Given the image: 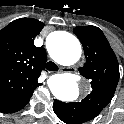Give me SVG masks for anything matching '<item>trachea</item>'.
Listing matches in <instances>:
<instances>
[{
    "label": "trachea",
    "mask_w": 124,
    "mask_h": 124,
    "mask_svg": "<svg viewBox=\"0 0 124 124\" xmlns=\"http://www.w3.org/2000/svg\"><path fill=\"white\" fill-rule=\"evenodd\" d=\"M46 69L49 70V71H57L58 70V66L55 63L50 61V62H48L46 64Z\"/></svg>",
    "instance_id": "trachea-1"
}]
</instances>
